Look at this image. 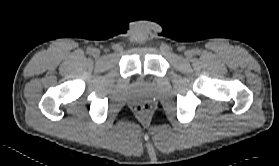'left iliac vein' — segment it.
<instances>
[{"mask_svg":"<svg viewBox=\"0 0 279 166\" xmlns=\"http://www.w3.org/2000/svg\"><path fill=\"white\" fill-rule=\"evenodd\" d=\"M184 54H185V57L188 58V59L191 58V57L193 56V52H192L191 50L185 51Z\"/></svg>","mask_w":279,"mask_h":166,"instance_id":"1","label":"left iliac vein"}]
</instances>
